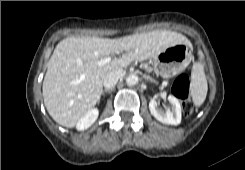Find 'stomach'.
I'll list each match as a JSON object with an SVG mask.
<instances>
[{
	"label": "stomach",
	"mask_w": 245,
	"mask_h": 170,
	"mask_svg": "<svg viewBox=\"0 0 245 170\" xmlns=\"http://www.w3.org/2000/svg\"><path fill=\"white\" fill-rule=\"evenodd\" d=\"M193 56L186 44H176L153 57L152 65L157 76L171 78L184 71Z\"/></svg>",
	"instance_id": "1"
}]
</instances>
